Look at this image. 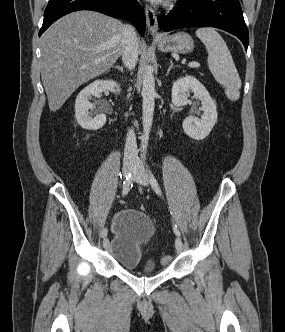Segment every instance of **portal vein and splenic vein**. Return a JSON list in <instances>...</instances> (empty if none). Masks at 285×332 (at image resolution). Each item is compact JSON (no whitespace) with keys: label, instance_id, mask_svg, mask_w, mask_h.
I'll use <instances>...</instances> for the list:
<instances>
[{"label":"portal vein and splenic vein","instance_id":"portal-vein-and-splenic-vein-1","mask_svg":"<svg viewBox=\"0 0 285 332\" xmlns=\"http://www.w3.org/2000/svg\"><path fill=\"white\" fill-rule=\"evenodd\" d=\"M188 66H189V67H199L200 64H199L198 62H190V63L188 64Z\"/></svg>","mask_w":285,"mask_h":332}]
</instances>
